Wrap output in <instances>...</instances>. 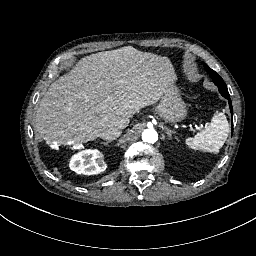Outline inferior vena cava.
<instances>
[{
    "mask_svg": "<svg viewBox=\"0 0 256 256\" xmlns=\"http://www.w3.org/2000/svg\"><path fill=\"white\" fill-rule=\"evenodd\" d=\"M120 135H121V130H119L117 128H112L106 132H102L100 134V138H102L104 140H114L117 137H119Z\"/></svg>",
    "mask_w": 256,
    "mask_h": 256,
    "instance_id": "602c4592",
    "label": "inferior vena cava"
}]
</instances>
